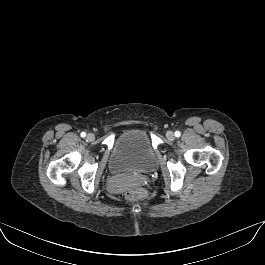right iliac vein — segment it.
Returning a JSON list of instances; mask_svg holds the SVG:
<instances>
[{
  "label": "right iliac vein",
  "instance_id": "right-iliac-vein-1",
  "mask_svg": "<svg viewBox=\"0 0 265 265\" xmlns=\"http://www.w3.org/2000/svg\"><path fill=\"white\" fill-rule=\"evenodd\" d=\"M86 139L88 140V141H94V139H95V135L93 134V133H89V134H87V136H86Z\"/></svg>",
  "mask_w": 265,
  "mask_h": 265
}]
</instances>
